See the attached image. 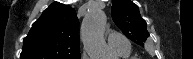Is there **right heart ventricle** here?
Masks as SVG:
<instances>
[{"instance_id":"right-heart-ventricle-1","label":"right heart ventricle","mask_w":193,"mask_h":59,"mask_svg":"<svg viewBox=\"0 0 193 59\" xmlns=\"http://www.w3.org/2000/svg\"><path fill=\"white\" fill-rule=\"evenodd\" d=\"M117 53L120 57H123V58H127L130 55V51L129 52H117Z\"/></svg>"}]
</instances>
